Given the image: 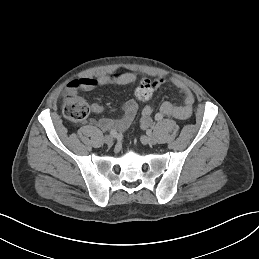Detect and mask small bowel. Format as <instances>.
<instances>
[{
    "instance_id": "1",
    "label": "small bowel",
    "mask_w": 259,
    "mask_h": 259,
    "mask_svg": "<svg viewBox=\"0 0 259 259\" xmlns=\"http://www.w3.org/2000/svg\"><path fill=\"white\" fill-rule=\"evenodd\" d=\"M138 80V76L131 72L113 73L107 76L98 78H86L81 81L80 88L86 91L93 90L97 87L106 85H134ZM147 80V79H145ZM171 82L180 90L183 94V104L176 105L172 102H163L160 106V111L167 116H171L180 120L189 118L193 113V104L195 97L192 91L180 80L172 79ZM155 88H159L166 83V79L161 77L152 81ZM137 104L134 100H128L123 105V114L118 119L103 118L99 120L98 126L102 130H114L116 132H124L129 128L137 113ZM90 110L93 113H101L103 106L98 103H93L90 106ZM153 109L151 106H145L142 110L140 119L141 126L147 128L151 124V116Z\"/></svg>"
}]
</instances>
